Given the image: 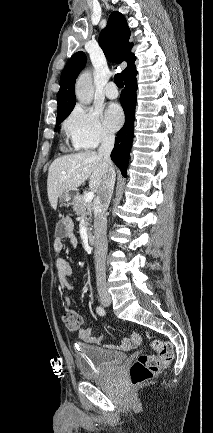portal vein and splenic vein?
Instances as JSON below:
<instances>
[{
  "label": "portal vein and splenic vein",
  "instance_id": "1",
  "mask_svg": "<svg viewBox=\"0 0 213 433\" xmlns=\"http://www.w3.org/2000/svg\"><path fill=\"white\" fill-rule=\"evenodd\" d=\"M93 198H94V192L91 191V192H88L85 194L84 201L85 202H91L93 200Z\"/></svg>",
  "mask_w": 213,
  "mask_h": 433
}]
</instances>
